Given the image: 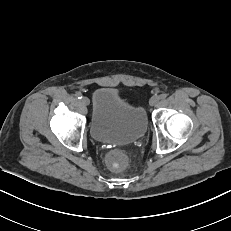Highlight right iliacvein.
I'll return each mask as SVG.
<instances>
[{
  "label": "right iliac vein",
  "mask_w": 231,
  "mask_h": 231,
  "mask_svg": "<svg viewBox=\"0 0 231 231\" xmlns=\"http://www.w3.org/2000/svg\"><path fill=\"white\" fill-rule=\"evenodd\" d=\"M82 103H83L84 105H89V104H90L89 98L83 97V98H82Z\"/></svg>",
  "instance_id": "63e3f726"
}]
</instances>
